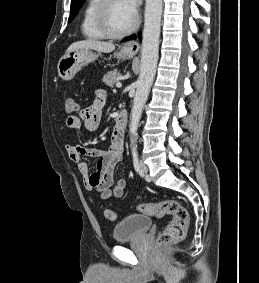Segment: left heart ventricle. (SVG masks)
Listing matches in <instances>:
<instances>
[{"label": "left heart ventricle", "instance_id": "left-heart-ventricle-1", "mask_svg": "<svg viewBox=\"0 0 259 283\" xmlns=\"http://www.w3.org/2000/svg\"><path fill=\"white\" fill-rule=\"evenodd\" d=\"M134 14L126 7L124 0H114L109 10V22L116 32L126 30L133 22Z\"/></svg>", "mask_w": 259, "mask_h": 283}]
</instances>
